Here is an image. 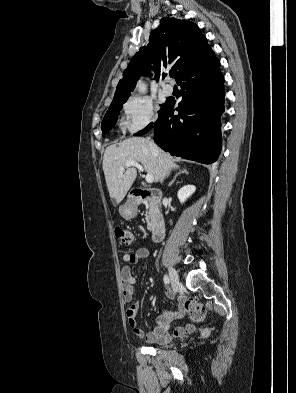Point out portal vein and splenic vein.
<instances>
[{
  "label": "portal vein and splenic vein",
  "instance_id": "obj_1",
  "mask_svg": "<svg viewBox=\"0 0 296 393\" xmlns=\"http://www.w3.org/2000/svg\"><path fill=\"white\" fill-rule=\"evenodd\" d=\"M130 166H134L136 168L139 169V171H144L143 167L137 163L136 161H128L125 163L124 167H130ZM124 167H122V170L124 169ZM145 180L147 183H152L154 181V176L152 174H147L145 176Z\"/></svg>",
  "mask_w": 296,
  "mask_h": 393
}]
</instances>
